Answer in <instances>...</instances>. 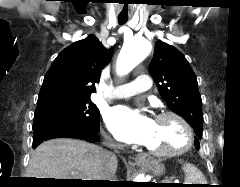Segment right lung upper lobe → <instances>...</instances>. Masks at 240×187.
<instances>
[{
  "label": "right lung upper lobe",
  "mask_w": 240,
  "mask_h": 187,
  "mask_svg": "<svg viewBox=\"0 0 240 187\" xmlns=\"http://www.w3.org/2000/svg\"><path fill=\"white\" fill-rule=\"evenodd\" d=\"M110 56L111 50H106L93 35L65 48L44 77L37 105L61 99L90 98Z\"/></svg>",
  "instance_id": "cb5924a9"
}]
</instances>
